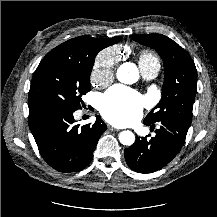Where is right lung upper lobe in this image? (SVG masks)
Here are the masks:
<instances>
[{"mask_svg":"<svg viewBox=\"0 0 217 217\" xmlns=\"http://www.w3.org/2000/svg\"><path fill=\"white\" fill-rule=\"evenodd\" d=\"M120 39V36L108 39L81 36L62 43L61 45L52 49L50 53L71 56H88L95 51L99 52L103 48L118 43Z\"/></svg>","mask_w":217,"mask_h":217,"instance_id":"1","label":"right lung upper lobe"}]
</instances>
